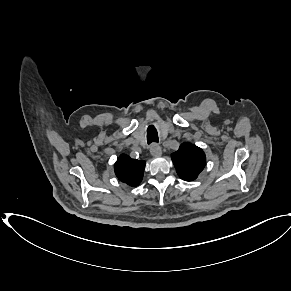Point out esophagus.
<instances>
[{"mask_svg": "<svg viewBox=\"0 0 291 291\" xmlns=\"http://www.w3.org/2000/svg\"><path fill=\"white\" fill-rule=\"evenodd\" d=\"M150 153L154 157H159L162 155L161 147L158 144H152L150 147Z\"/></svg>", "mask_w": 291, "mask_h": 291, "instance_id": "obj_1", "label": "esophagus"}]
</instances>
